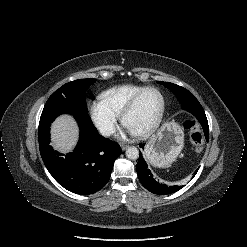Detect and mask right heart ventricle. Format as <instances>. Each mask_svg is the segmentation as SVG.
<instances>
[{
	"label": "right heart ventricle",
	"mask_w": 247,
	"mask_h": 247,
	"mask_svg": "<svg viewBox=\"0 0 247 247\" xmlns=\"http://www.w3.org/2000/svg\"><path fill=\"white\" fill-rule=\"evenodd\" d=\"M143 88L145 87L134 84L115 86L102 92L100 99L113 113L119 116L132 97Z\"/></svg>",
	"instance_id": "right-heart-ventricle-1"
}]
</instances>
